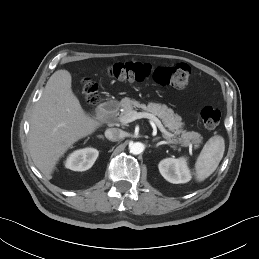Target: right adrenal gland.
Here are the masks:
<instances>
[{"label":"right adrenal gland","mask_w":259,"mask_h":259,"mask_svg":"<svg viewBox=\"0 0 259 259\" xmlns=\"http://www.w3.org/2000/svg\"><path fill=\"white\" fill-rule=\"evenodd\" d=\"M98 137H99L100 139H104V137H103V136H101V135H99Z\"/></svg>","instance_id":"right-adrenal-gland-1"}]
</instances>
